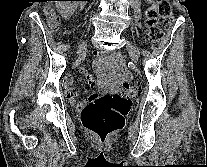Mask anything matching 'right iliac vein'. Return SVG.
<instances>
[{
  "label": "right iliac vein",
  "mask_w": 207,
  "mask_h": 167,
  "mask_svg": "<svg viewBox=\"0 0 207 167\" xmlns=\"http://www.w3.org/2000/svg\"><path fill=\"white\" fill-rule=\"evenodd\" d=\"M87 42L83 41L80 43L79 47H78V51L81 52L82 50L85 49Z\"/></svg>",
  "instance_id": "right-iliac-vein-1"
}]
</instances>
